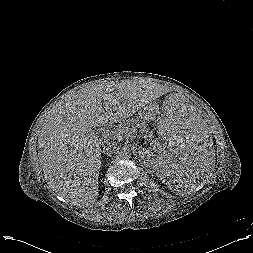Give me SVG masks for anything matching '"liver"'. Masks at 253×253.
I'll return each mask as SVG.
<instances>
[{
    "mask_svg": "<svg viewBox=\"0 0 253 253\" xmlns=\"http://www.w3.org/2000/svg\"><path fill=\"white\" fill-rule=\"evenodd\" d=\"M157 93L150 83L121 81L91 85L61 101L42 121L38 138L50 188L75 206L94 204L102 157L92 128L130 118Z\"/></svg>",
    "mask_w": 253,
    "mask_h": 253,
    "instance_id": "6515ba94",
    "label": "liver"
}]
</instances>
